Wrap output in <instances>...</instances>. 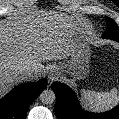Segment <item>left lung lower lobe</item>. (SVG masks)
<instances>
[{
  "label": "left lung lower lobe",
  "instance_id": "left-lung-lower-lobe-1",
  "mask_svg": "<svg viewBox=\"0 0 119 119\" xmlns=\"http://www.w3.org/2000/svg\"><path fill=\"white\" fill-rule=\"evenodd\" d=\"M112 39L119 42V37ZM51 86L56 94L55 111L58 119H119V105L105 113H89L80 107L75 93L68 86L58 82Z\"/></svg>",
  "mask_w": 119,
  "mask_h": 119
}]
</instances>
